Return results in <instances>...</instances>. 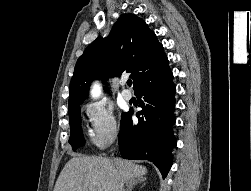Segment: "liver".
Wrapping results in <instances>:
<instances>
[{
	"instance_id": "6515ba94",
	"label": "liver",
	"mask_w": 251,
	"mask_h": 191,
	"mask_svg": "<svg viewBox=\"0 0 251 191\" xmlns=\"http://www.w3.org/2000/svg\"><path fill=\"white\" fill-rule=\"evenodd\" d=\"M146 171V167L136 165L131 159L82 157L76 153L64 165L53 191H96L94 185L103 191H118L120 183L135 177L140 179Z\"/></svg>"
}]
</instances>
